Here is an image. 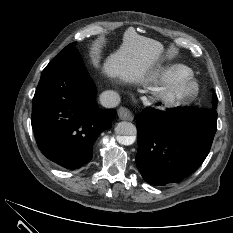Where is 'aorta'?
<instances>
[{
	"mask_svg": "<svg viewBox=\"0 0 233 233\" xmlns=\"http://www.w3.org/2000/svg\"><path fill=\"white\" fill-rule=\"evenodd\" d=\"M117 141L122 145H131L135 141L136 127L131 122H120L115 127Z\"/></svg>",
	"mask_w": 233,
	"mask_h": 233,
	"instance_id": "1",
	"label": "aorta"
}]
</instances>
